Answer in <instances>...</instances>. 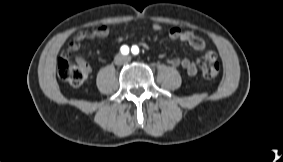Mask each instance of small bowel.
Listing matches in <instances>:
<instances>
[{"instance_id": "small-bowel-1", "label": "small bowel", "mask_w": 283, "mask_h": 162, "mask_svg": "<svg viewBox=\"0 0 283 162\" xmlns=\"http://www.w3.org/2000/svg\"><path fill=\"white\" fill-rule=\"evenodd\" d=\"M152 29L156 32L162 31V26L159 23H153ZM109 34V29L107 26L102 25L95 29L92 33H88L86 31H79L74 38L68 44V50L62 53V57L69 59L70 54L72 52L77 51L81 43L88 37H95V38H106ZM168 35L173 40H178L181 42H185L189 44L192 48L198 51H202L205 49V42L202 38L195 35L191 31H184L177 27H172L168 31ZM144 48H148V45L142 43ZM214 54L213 52H207V54ZM205 55V56H206ZM215 55V54H214ZM205 58V57H204ZM77 63H86L82 58H77ZM167 63L173 67L182 68L188 75L194 76L197 74L201 61L199 59H188V58H179L175 57L172 59L167 60Z\"/></svg>"}]
</instances>
